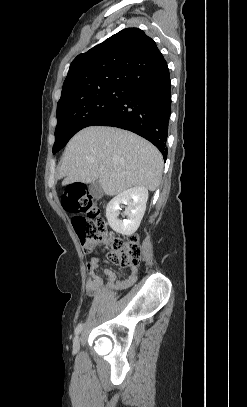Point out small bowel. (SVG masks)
Listing matches in <instances>:
<instances>
[{
  "mask_svg": "<svg viewBox=\"0 0 247 407\" xmlns=\"http://www.w3.org/2000/svg\"><path fill=\"white\" fill-rule=\"evenodd\" d=\"M106 242V241H105ZM99 267V259L97 257H92L87 264V269L89 271V278L87 281L86 289L90 296L98 295L102 290L101 278L96 274V270ZM104 273L108 277L107 287L116 289H126L133 285L138 277V270L136 266L129 268V274L124 280L117 281L116 274L110 269H104Z\"/></svg>",
  "mask_w": 247,
  "mask_h": 407,
  "instance_id": "obj_1",
  "label": "small bowel"
}]
</instances>
